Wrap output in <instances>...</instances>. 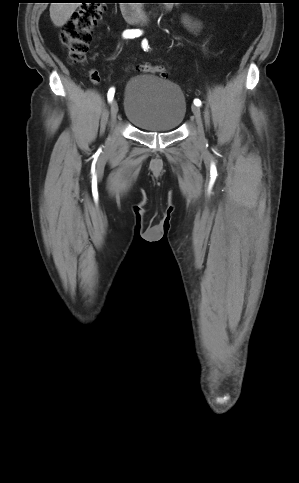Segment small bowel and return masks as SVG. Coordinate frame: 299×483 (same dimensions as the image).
Returning <instances> with one entry per match:
<instances>
[{
  "label": "small bowel",
  "instance_id": "small-bowel-1",
  "mask_svg": "<svg viewBox=\"0 0 299 483\" xmlns=\"http://www.w3.org/2000/svg\"><path fill=\"white\" fill-rule=\"evenodd\" d=\"M182 22L184 26L193 33H196L200 29L199 23L186 15L182 16ZM90 77L94 82L99 81L98 72L95 69L90 70Z\"/></svg>",
  "mask_w": 299,
  "mask_h": 483
}]
</instances>
